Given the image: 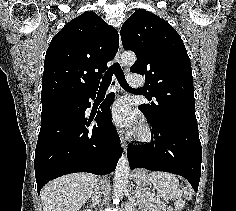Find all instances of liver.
Returning <instances> with one entry per match:
<instances>
[{
  "label": "liver",
  "instance_id": "obj_1",
  "mask_svg": "<svg viewBox=\"0 0 236 211\" xmlns=\"http://www.w3.org/2000/svg\"><path fill=\"white\" fill-rule=\"evenodd\" d=\"M97 178L90 173L59 177L43 187V211H79L94 192Z\"/></svg>",
  "mask_w": 236,
  "mask_h": 211
}]
</instances>
